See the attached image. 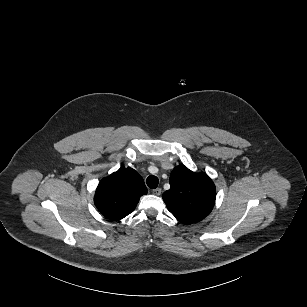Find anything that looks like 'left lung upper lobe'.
<instances>
[{
    "label": "left lung upper lobe",
    "mask_w": 307,
    "mask_h": 307,
    "mask_svg": "<svg viewBox=\"0 0 307 307\" xmlns=\"http://www.w3.org/2000/svg\"><path fill=\"white\" fill-rule=\"evenodd\" d=\"M170 189L162 198L168 210L181 222L204 219L213 209L216 189L205 173H195L184 165L176 166L170 175Z\"/></svg>",
    "instance_id": "5c2ea615"
}]
</instances>
